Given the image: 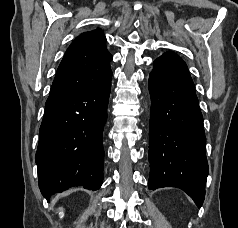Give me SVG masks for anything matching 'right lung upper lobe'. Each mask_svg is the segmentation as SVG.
<instances>
[{"label":"right lung upper lobe","instance_id":"obj_1","mask_svg":"<svg viewBox=\"0 0 238 228\" xmlns=\"http://www.w3.org/2000/svg\"><path fill=\"white\" fill-rule=\"evenodd\" d=\"M112 55L100 29L78 36L67 49L55 75L50 94L92 85L102 79Z\"/></svg>","mask_w":238,"mask_h":228}]
</instances>
